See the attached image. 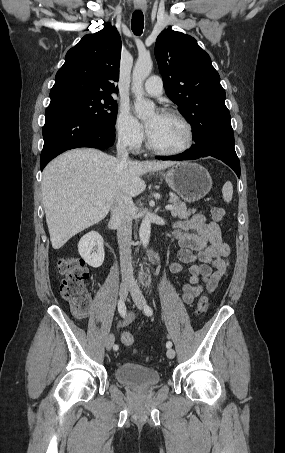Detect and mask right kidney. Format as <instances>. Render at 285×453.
Here are the masks:
<instances>
[{
	"instance_id": "obj_1",
	"label": "right kidney",
	"mask_w": 285,
	"mask_h": 453,
	"mask_svg": "<svg viewBox=\"0 0 285 453\" xmlns=\"http://www.w3.org/2000/svg\"><path fill=\"white\" fill-rule=\"evenodd\" d=\"M94 247H97L95 252ZM78 251L89 266L100 267L105 256L102 236L94 231L85 234L78 243Z\"/></svg>"
}]
</instances>
